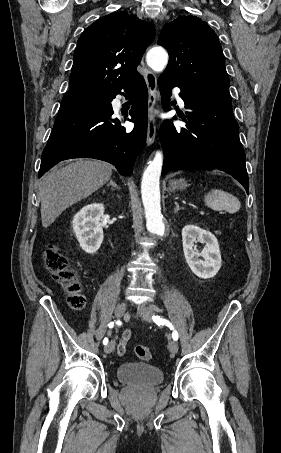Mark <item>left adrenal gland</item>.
Masks as SVG:
<instances>
[{"label": "left adrenal gland", "mask_w": 281, "mask_h": 453, "mask_svg": "<svg viewBox=\"0 0 281 453\" xmlns=\"http://www.w3.org/2000/svg\"><path fill=\"white\" fill-rule=\"evenodd\" d=\"M176 206H175V210L174 212H178V210H180V206L178 204V202H175Z\"/></svg>", "instance_id": "1"}]
</instances>
